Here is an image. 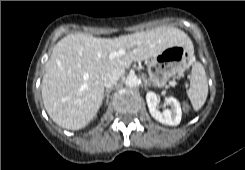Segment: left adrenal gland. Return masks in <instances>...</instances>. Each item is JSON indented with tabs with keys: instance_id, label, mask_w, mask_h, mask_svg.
Segmentation results:
<instances>
[{
	"instance_id": "a2214340",
	"label": "left adrenal gland",
	"mask_w": 245,
	"mask_h": 170,
	"mask_svg": "<svg viewBox=\"0 0 245 170\" xmlns=\"http://www.w3.org/2000/svg\"><path fill=\"white\" fill-rule=\"evenodd\" d=\"M143 80H144V86H145V88L151 86V83L145 77L143 78Z\"/></svg>"
}]
</instances>
